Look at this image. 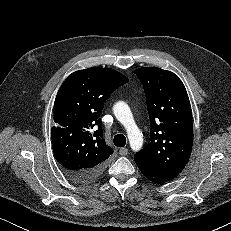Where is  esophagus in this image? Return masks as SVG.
Segmentation results:
<instances>
[{"instance_id": "obj_1", "label": "esophagus", "mask_w": 231, "mask_h": 231, "mask_svg": "<svg viewBox=\"0 0 231 231\" xmlns=\"http://www.w3.org/2000/svg\"><path fill=\"white\" fill-rule=\"evenodd\" d=\"M119 154L122 156H126L128 154V149L127 148H120Z\"/></svg>"}]
</instances>
